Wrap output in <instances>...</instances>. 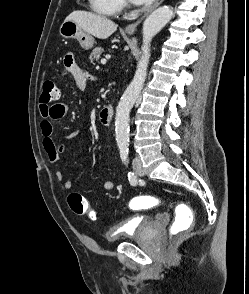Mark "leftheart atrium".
<instances>
[{
	"mask_svg": "<svg viewBox=\"0 0 249 294\" xmlns=\"http://www.w3.org/2000/svg\"><path fill=\"white\" fill-rule=\"evenodd\" d=\"M134 4L143 5L152 2L153 0H131Z\"/></svg>",
	"mask_w": 249,
	"mask_h": 294,
	"instance_id": "obj_1",
	"label": "left heart atrium"
}]
</instances>
